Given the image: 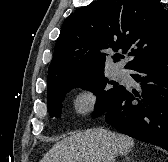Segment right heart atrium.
<instances>
[{"label":"right heart atrium","mask_w":168,"mask_h":162,"mask_svg":"<svg viewBox=\"0 0 168 162\" xmlns=\"http://www.w3.org/2000/svg\"><path fill=\"white\" fill-rule=\"evenodd\" d=\"M95 104V98L90 91H82L75 100V108L79 112H89Z\"/></svg>","instance_id":"right-heart-atrium-1"}]
</instances>
